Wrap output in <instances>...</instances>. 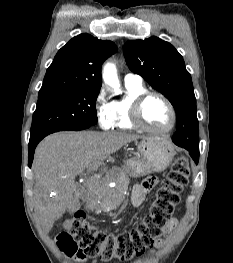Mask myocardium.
Returning <instances> with one entry per match:
<instances>
[{
    "instance_id": "obj_1",
    "label": "myocardium",
    "mask_w": 233,
    "mask_h": 263,
    "mask_svg": "<svg viewBox=\"0 0 233 263\" xmlns=\"http://www.w3.org/2000/svg\"><path fill=\"white\" fill-rule=\"evenodd\" d=\"M151 97H158L160 98L168 107L170 114H171V122L170 124L163 129H156L151 126H149L143 117V106L145 102L151 98ZM131 121L134 124L135 127L140 128L145 131L153 132V133H168L170 132L177 121V114L176 110L171 103V101L162 93L156 92V91H145L144 93L140 94L135 98V100L132 103L131 106Z\"/></svg>"
}]
</instances>
